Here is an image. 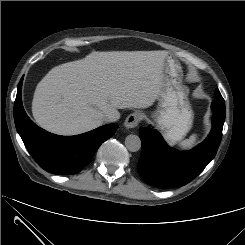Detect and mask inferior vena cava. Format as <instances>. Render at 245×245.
<instances>
[{
    "label": "inferior vena cava",
    "instance_id": "inferior-vena-cava-1",
    "mask_svg": "<svg viewBox=\"0 0 245 245\" xmlns=\"http://www.w3.org/2000/svg\"><path fill=\"white\" fill-rule=\"evenodd\" d=\"M120 118V114L118 111L111 110L108 111L103 117L102 120L104 122H115Z\"/></svg>",
    "mask_w": 245,
    "mask_h": 245
}]
</instances>
